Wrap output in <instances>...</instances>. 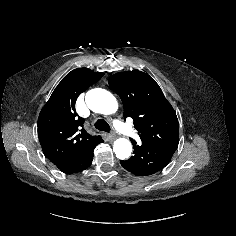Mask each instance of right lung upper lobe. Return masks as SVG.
I'll return each instance as SVG.
<instances>
[{
    "instance_id": "right-lung-upper-lobe-1",
    "label": "right lung upper lobe",
    "mask_w": 236,
    "mask_h": 236,
    "mask_svg": "<svg viewBox=\"0 0 236 236\" xmlns=\"http://www.w3.org/2000/svg\"><path fill=\"white\" fill-rule=\"evenodd\" d=\"M104 73L78 68L68 73L53 91L38 117V138L45 156L56 163L102 142L83 128L75 110L78 96Z\"/></svg>"
}]
</instances>
